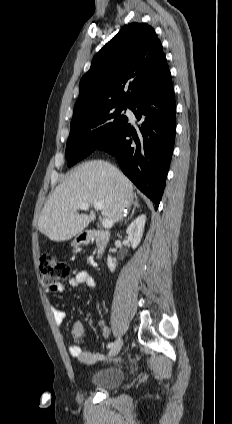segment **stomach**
I'll list each match as a JSON object with an SVG mask.
<instances>
[{"label":"stomach","instance_id":"0dacf381","mask_svg":"<svg viewBox=\"0 0 232 424\" xmlns=\"http://www.w3.org/2000/svg\"><path fill=\"white\" fill-rule=\"evenodd\" d=\"M84 242V239L81 237V235L76 236V238L72 242V246H79Z\"/></svg>","mask_w":232,"mask_h":424}]
</instances>
